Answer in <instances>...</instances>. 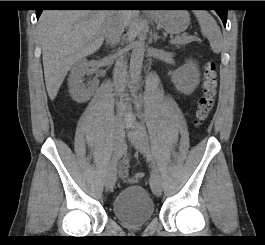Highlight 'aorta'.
Here are the masks:
<instances>
[{
	"label": "aorta",
	"instance_id": "obj_1",
	"mask_svg": "<svg viewBox=\"0 0 265 245\" xmlns=\"http://www.w3.org/2000/svg\"><path fill=\"white\" fill-rule=\"evenodd\" d=\"M144 52L145 41L143 36H141L139 40L134 42L130 57V84L133 91L136 90L141 75Z\"/></svg>",
	"mask_w": 265,
	"mask_h": 245
}]
</instances>
